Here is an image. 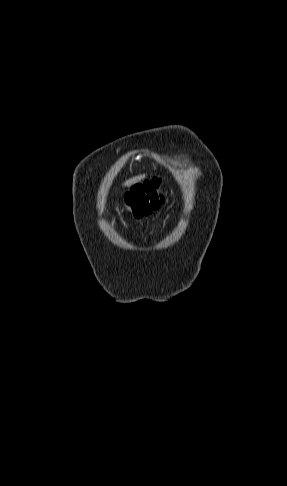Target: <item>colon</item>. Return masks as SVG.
<instances>
[{"label":"colon","instance_id":"5ec220e1","mask_svg":"<svg viewBox=\"0 0 287 486\" xmlns=\"http://www.w3.org/2000/svg\"><path fill=\"white\" fill-rule=\"evenodd\" d=\"M165 201L158 177L148 179L132 186L124 196L126 209L135 218L148 216L157 210Z\"/></svg>","mask_w":287,"mask_h":486}]
</instances>
